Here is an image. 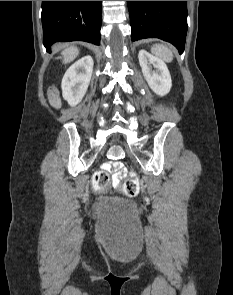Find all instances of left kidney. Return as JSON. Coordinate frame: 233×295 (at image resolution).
I'll list each match as a JSON object with an SVG mask.
<instances>
[{
    "label": "left kidney",
    "mask_w": 233,
    "mask_h": 295,
    "mask_svg": "<svg viewBox=\"0 0 233 295\" xmlns=\"http://www.w3.org/2000/svg\"><path fill=\"white\" fill-rule=\"evenodd\" d=\"M138 58L142 73L150 88L157 95L164 96L168 94L172 86V80L165 62L146 50H140Z\"/></svg>",
    "instance_id": "1"
}]
</instances>
